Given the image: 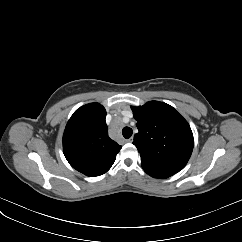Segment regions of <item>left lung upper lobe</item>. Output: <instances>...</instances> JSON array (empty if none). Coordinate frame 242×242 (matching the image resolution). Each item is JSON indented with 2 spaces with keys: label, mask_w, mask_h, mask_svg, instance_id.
I'll list each match as a JSON object with an SVG mask.
<instances>
[{
  "label": "left lung upper lobe",
  "mask_w": 242,
  "mask_h": 242,
  "mask_svg": "<svg viewBox=\"0 0 242 242\" xmlns=\"http://www.w3.org/2000/svg\"><path fill=\"white\" fill-rule=\"evenodd\" d=\"M132 111L139 130L133 144L144 171L163 179L182 170L194 144L187 121L172 106L158 101L132 107Z\"/></svg>",
  "instance_id": "1"
}]
</instances>
